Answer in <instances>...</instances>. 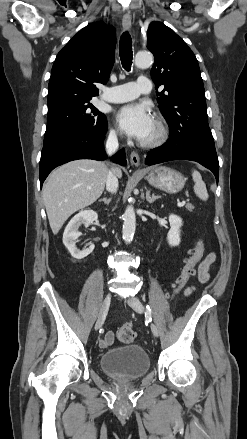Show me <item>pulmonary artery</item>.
<instances>
[{
  "label": "pulmonary artery",
  "instance_id": "obj_1",
  "mask_svg": "<svg viewBox=\"0 0 247 439\" xmlns=\"http://www.w3.org/2000/svg\"><path fill=\"white\" fill-rule=\"evenodd\" d=\"M152 84L147 77H139L136 82H129L104 91L103 99L107 102L122 103L133 100L141 94L151 91Z\"/></svg>",
  "mask_w": 247,
  "mask_h": 439
}]
</instances>
